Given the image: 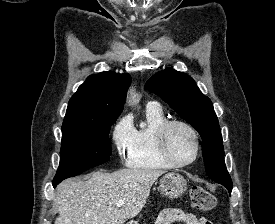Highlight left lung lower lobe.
Instances as JSON below:
<instances>
[{
    "label": "left lung lower lobe",
    "instance_id": "obj_1",
    "mask_svg": "<svg viewBox=\"0 0 275 224\" xmlns=\"http://www.w3.org/2000/svg\"><path fill=\"white\" fill-rule=\"evenodd\" d=\"M220 184L224 185L228 189L229 193H231V191H232V183L222 182Z\"/></svg>",
    "mask_w": 275,
    "mask_h": 224
}]
</instances>
